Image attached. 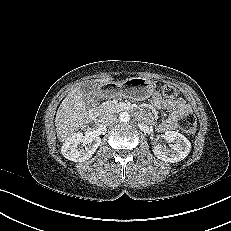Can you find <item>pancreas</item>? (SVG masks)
<instances>
[{
  "instance_id": "cf45deb5",
  "label": "pancreas",
  "mask_w": 231,
  "mask_h": 231,
  "mask_svg": "<svg viewBox=\"0 0 231 231\" xmlns=\"http://www.w3.org/2000/svg\"><path fill=\"white\" fill-rule=\"evenodd\" d=\"M120 110H121V108H120L118 102H116L115 100L103 102L98 107V111H99L101 116L106 115V114H110V113H117Z\"/></svg>"
}]
</instances>
